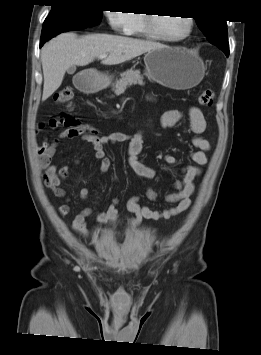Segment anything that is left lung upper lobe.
Returning a JSON list of instances; mask_svg holds the SVG:
<instances>
[{"instance_id":"1","label":"left lung upper lobe","mask_w":261,"mask_h":355,"mask_svg":"<svg viewBox=\"0 0 261 355\" xmlns=\"http://www.w3.org/2000/svg\"><path fill=\"white\" fill-rule=\"evenodd\" d=\"M195 20L208 41L220 48L228 57L229 43L226 21L206 18H195Z\"/></svg>"}]
</instances>
